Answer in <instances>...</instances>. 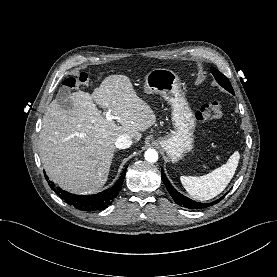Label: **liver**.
<instances>
[{"instance_id": "6515ba94", "label": "liver", "mask_w": 277, "mask_h": 277, "mask_svg": "<svg viewBox=\"0 0 277 277\" xmlns=\"http://www.w3.org/2000/svg\"><path fill=\"white\" fill-rule=\"evenodd\" d=\"M71 109L57 99L47 107L39 134V154L49 178L62 189L90 194L106 183L115 142L127 135L135 142L156 122V115L123 75L106 77L90 94L70 93ZM98 107L110 110L118 123L104 117ZM121 124V126H119Z\"/></svg>"}]
</instances>
